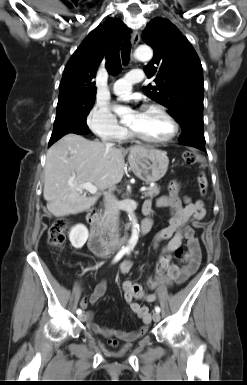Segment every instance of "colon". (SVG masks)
I'll use <instances>...</instances> for the list:
<instances>
[{
    "mask_svg": "<svg viewBox=\"0 0 247 385\" xmlns=\"http://www.w3.org/2000/svg\"><path fill=\"white\" fill-rule=\"evenodd\" d=\"M183 160L187 164L203 163V157L195 152L186 151L183 153ZM198 187L200 194L205 196L208 188V180L206 174L200 171L197 175ZM70 226V221L66 218L57 219L49 229L48 242L53 247H62L65 242V232ZM176 256H181L182 250L180 248L175 250ZM170 261L168 258L163 259L157 266L158 273H166L169 269ZM126 289L133 294H138V289L134 284H128Z\"/></svg>",
    "mask_w": 247,
    "mask_h": 385,
    "instance_id": "obj_1",
    "label": "colon"
}]
</instances>
